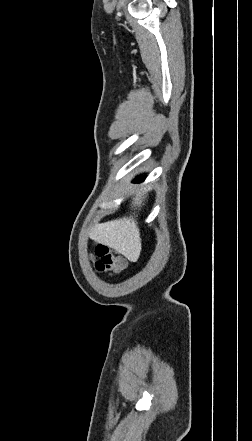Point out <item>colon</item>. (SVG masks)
<instances>
[{
	"label": "colon",
	"mask_w": 252,
	"mask_h": 441,
	"mask_svg": "<svg viewBox=\"0 0 252 441\" xmlns=\"http://www.w3.org/2000/svg\"><path fill=\"white\" fill-rule=\"evenodd\" d=\"M95 255L97 257L95 267L101 273H118L126 266V260L106 245H97Z\"/></svg>",
	"instance_id": "5ec220e1"
}]
</instances>
